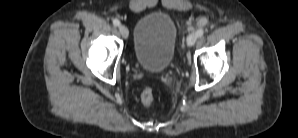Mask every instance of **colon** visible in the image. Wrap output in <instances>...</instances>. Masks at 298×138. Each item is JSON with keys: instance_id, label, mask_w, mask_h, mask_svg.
I'll return each instance as SVG.
<instances>
[{"instance_id": "obj_1", "label": "colon", "mask_w": 298, "mask_h": 138, "mask_svg": "<svg viewBox=\"0 0 298 138\" xmlns=\"http://www.w3.org/2000/svg\"><path fill=\"white\" fill-rule=\"evenodd\" d=\"M154 100L153 92L151 89H144L141 94V101L145 105H150Z\"/></svg>"}]
</instances>
